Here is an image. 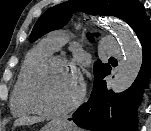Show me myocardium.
<instances>
[{
  "instance_id": "myocardium-1",
  "label": "myocardium",
  "mask_w": 151,
  "mask_h": 131,
  "mask_svg": "<svg viewBox=\"0 0 151 131\" xmlns=\"http://www.w3.org/2000/svg\"><path fill=\"white\" fill-rule=\"evenodd\" d=\"M56 64L65 65L71 68L77 75L80 84L76 95L66 105L56 109H47L39 105L34 99L32 94V84L38 73ZM85 91L84 80L75 65L63 56L52 54L39 60L28 70L23 86V101L26 107L33 113L42 116H60L76 109L83 101Z\"/></svg>"
}]
</instances>
